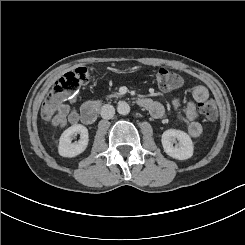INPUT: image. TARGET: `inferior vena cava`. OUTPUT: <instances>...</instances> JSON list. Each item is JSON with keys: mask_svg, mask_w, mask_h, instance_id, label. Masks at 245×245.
Here are the masks:
<instances>
[{"mask_svg": "<svg viewBox=\"0 0 245 245\" xmlns=\"http://www.w3.org/2000/svg\"><path fill=\"white\" fill-rule=\"evenodd\" d=\"M115 114V109L112 105L105 104L101 107V117L103 119H111Z\"/></svg>", "mask_w": 245, "mask_h": 245, "instance_id": "obj_1", "label": "inferior vena cava"}]
</instances>
